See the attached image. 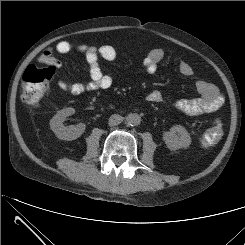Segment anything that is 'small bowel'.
Masks as SVG:
<instances>
[{
    "label": "small bowel",
    "mask_w": 245,
    "mask_h": 245,
    "mask_svg": "<svg viewBox=\"0 0 245 245\" xmlns=\"http://www.w3.org/2000/svg\"><path fill=\"white\" fill-rule=\"evenodd\" d=\"M83 54L89 70L90 80L85 83H70L60 78L58 85L61 89L68 91L72 95H80L88 90L107 89L111 87L113 80L110 76L103 73L101 68V59L113 61L117 57L116 50L110 45L100 47L88 46L85 44H75L69 41H61L54 47L43 51L37 61L47 64L57 71H61L62 63L55 57V54L66 53ZM165 51L162 49H153L143 60L144 67L148 74L156 71L158 64L165 58ZM179 72L184 77H191L194 73L192 66L187 62H181L178 66ZM198 97L194 99L179 100L174 103V108L185 115H198L210 113L222 106L224 98L218 88L206 80L196 82ZM150 102H159L161 95L158 92H151L148 96Z\"/></svg>",
    "instance_id": "small-bowel-1"
}]
</instances>
